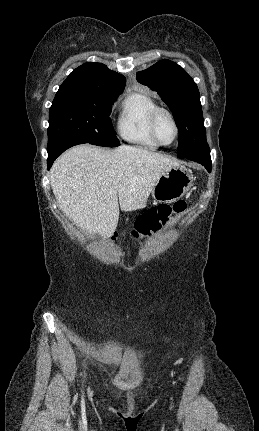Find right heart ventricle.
<instances>
[{"mask_svg": "<svg viewBox=\"0 0 259 431\" xmlns=\"http://www.w3.org/2000/svg\"><path fill=\"white\" fill-rule=\"evenodd\" d=\"M157 106L155 99L148 94L135 92L127 95L119 106L117 119L121 138L142 147H158L149 128L150 114Z\"/></svg>", "mask_w": 259, "mask_h": 431, "instance_id": "e07e8e85", "label": "right heart ventricle"}]
</instances>
